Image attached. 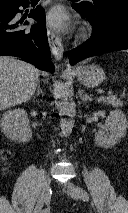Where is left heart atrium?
Instances as JSON below:
<instances>
[{
  "label": "left heart atrium",
  "instance_id": "1",
  "mask_svg": "<svg viewBox=\"0 0 128 213\" xmlns=\"http://www.w3.org/2000/svg\"><path fill=\"white\" fill-rule=\"evenodd\" d=\"M46 23L52 29H64L68 24V17L65 10L61 7L51 9L46 16Z\"/></svg>",
  "mask_w": 128,
  "mask_h": 213
}]
</instances>
